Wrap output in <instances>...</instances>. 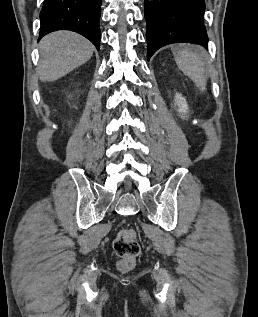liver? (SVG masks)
I'll list each match as a JSON object with an SVG mask.
<instances>
[{
  "label": "liver",
  "instance_id": "1",
  "mask_svg": "<svg viewBox=\"0 0 258 317\" xmlns=\"http://www.w3.org/2000/svg\"><path fill=\"white\" fill-rule=\"evenodd\" d=\"M41 58L38 72L40 80H57L93 54L94 46L77 32L56 30L46 34L39 42Z\"/></svg>",
  "mask_w": 258,
  "mask_h": 317
}]
</instances>
